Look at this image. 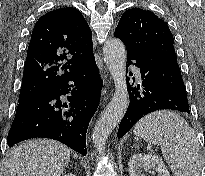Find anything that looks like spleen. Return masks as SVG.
Instances as JSON below:
<instances>
[{
  "label": "spleen",
  "mask_w": 205,
  "mask_h": 176,
  "mask_svg": "<svg viewBox=\"0 0 205 176\" xmlns=\"http://www.w3.org/2000/svg\"><path fill=\"white\" fill-rule=\"evenodd\" d=\"M133 133L148 143L160 145L174 176H200L201 155L195 131L172 111H156L134 126Z\"/></svg>",
  "instance_id": "3e777b00"
}]
</instances>
